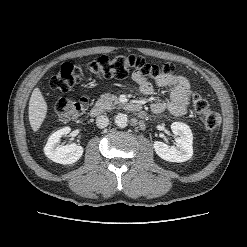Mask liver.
<instances>
[{
	"label": "liver",
	"mask_w": 247,
	"mask_h": 247,
	"mask_svg": "<svg viewBox=\"0 0 247 247\" xmlns=\"http://www.w3.org/2000/svg\"><path fill=\"white\" fill-rule=\"evenodd\" d=\"M47 110V103L42 92L36 87L31 94L28 110L30 126L34 132H37L41 127L46 118Z\"/></svg>",
	"instance_id": "1"
}]
</instances>
